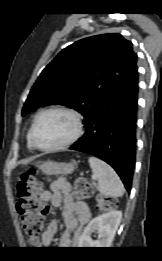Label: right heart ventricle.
<instances>
[{
    "label": "right heart ventricle",
    "mask_w": 162,
    "mask_h": 261,
    "mask_svg": "<svg viewBox=\"0 0 162 261\" xmlns=\"http://www.w3.org/2000/svg\"><path fill=\"white\" fill-rule=\"evenodd\" d=\"M27 146H28V148H29L30 150L33 149L32 145H31V142H30V130H29V132H28V134H27Z\"/></svg>",
    "instance_id": "1"
}]
</instances>
